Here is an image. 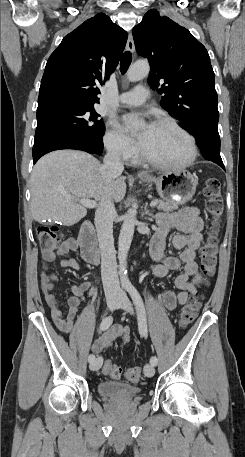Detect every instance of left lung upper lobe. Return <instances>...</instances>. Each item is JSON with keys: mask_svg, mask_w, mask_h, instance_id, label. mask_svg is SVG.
Wrapping results in <instances>:
<instances>
[{"mask_svg": "<svg viewBox=\"0 0 245 457\" xmlns=\"http://www.w3.org/2000/svg\"><path fill=\"white\" fill-rule=\"evenodd\" d=\"M137 53L148 59V83L162 94L161 106L182 122L199 127L219 120L215 75L206 48L184 27L157 10L133 28Z\"/></svg>", "mask_w": 245, "mask_h": 457, "instance_id": "1", "label": "left lung upper lobe"}]
</instances>
